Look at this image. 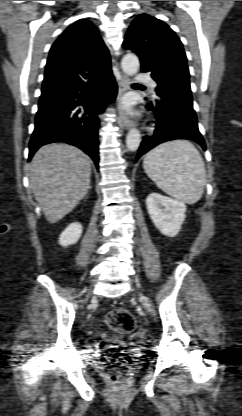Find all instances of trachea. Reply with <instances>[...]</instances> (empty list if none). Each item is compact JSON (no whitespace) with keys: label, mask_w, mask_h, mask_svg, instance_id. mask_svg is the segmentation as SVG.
<instances>
[{"label":"trachea","mask_w":242,"mask_h":416,"mask_svg":"<svg viewBox=\"0 0 242 416\" xmlns=\"http://www.w3.org/2000/svg\"><path fill=\"white\" fill-rule=\"evenodd\" d=\"M132 86H142L141 84H132Z\"/></svg>","instance_id":"3493384b"}]
</instances>
